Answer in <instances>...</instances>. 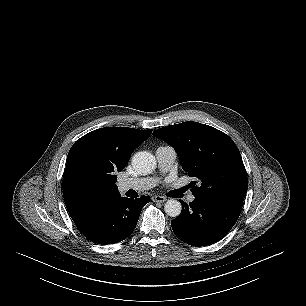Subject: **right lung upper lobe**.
<instances>
[{
    "mask_svg": "<svg viewBox=\"0 0 306 306\" xmlns=\"http://www.w3.org/2000/svg\"><path fill=\"white\" fill-rule=\"evenodd\" d=\"M152 129L104 127L87 133L71 147L63 174V197L73 221L117 201L115 172L124 169L132 152L151 135ZM95 180L89 182L85 173Z\"/></svg>",
    "mask_w": 306,
    "mask_h": 306,
    "instance_id": "right-lung-upper-lobe-1",
    "label": "right lung upper lobe"
}]
</instances>
